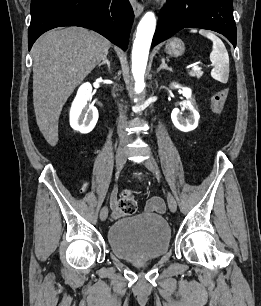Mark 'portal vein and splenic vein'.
I'll return each mask as SVG.
<instances>
[{"label":"portal vein and splenic vein","mask_w":261,"mask_h":306,"mask_svg":"<svg viewBox=\"0 0 261 306\" xmlns=\"http://www.w3.org/2000/svg\"><path fill=\"white\" fill-rule=\"evenodd\" d=\"M202 68L199 66V65H194L193 67H192V70L193 71H200Z\"/></svg>","instance_id":"portal-vein-and-splenic-vein-1"}]
</instances>
